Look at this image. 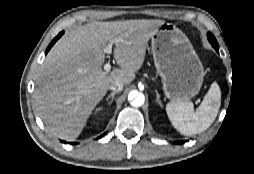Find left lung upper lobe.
<instances>
[{"label": "left lung upper lobe", "mask_w": 254, "mask_h": 174, "mask_svg": "<svg viewBox=\"0 0 254 174\" xmlns=\"http://www.w3.org/2000/svg\"><path fill=\"white\" fill-rule=\"evenodd\" d=\"M208 40H209V42L211 43V45H212L214 48L217 47V48L219 49L218 43H217L215 37L213 36V34L208 33Z\"/></svg>", "instance_id": "obj_1"}]
</instances>
